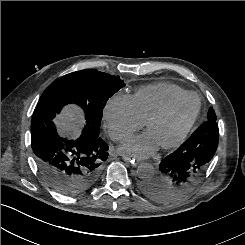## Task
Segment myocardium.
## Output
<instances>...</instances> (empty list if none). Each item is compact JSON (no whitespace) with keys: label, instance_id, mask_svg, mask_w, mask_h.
<instances>
[{"label":"myocardium","instance_id":"obj_1","mask_svg":"<svg viewBox=\"0 0 245 245\" xmlns=\"http://www.w3.org/2000/svg\"><path fill=\"white\" fill-rule=\"evenodd\" d=\"M191 97L196 98L198 102L197 109H196V112L193 118L191 119L189 124L185 127V129L181 132V134L175 140H173L170 143L161 145V148L163 150H170V149L176 148L180 146L186 140V138L192 131L193 127L195 126L198 116L200 114V110H201L200 98L195 93H187L186 95H183L181 97H178L170 101L169 103L164 105L161 109H159L157 112H155L152 116H150L145 121V127L148 129L152 124L166 117L177 105H179L180 103H182L183 101Z\"/></svg>","mask_w":245,"mask_h":245}]
</instances>
